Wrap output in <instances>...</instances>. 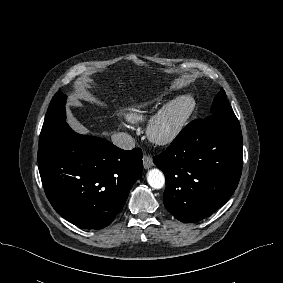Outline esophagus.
<instances>
[{
	"mask_svg": "<svg viewBox=\"0 0 283 283\" xmlns=\"http://www.w3.org/2000/svg\"><path fill=\"white\" fill-rule=\"evenodd\" d=\"M143 165L145 169H149L153 166V159L150 155L143 156Z\"/></svg>",
	"mask_w": 283,
	"mask_h": 283,
	"instance_id": "1",
	"label": "esophagus"
}]
</instances>
